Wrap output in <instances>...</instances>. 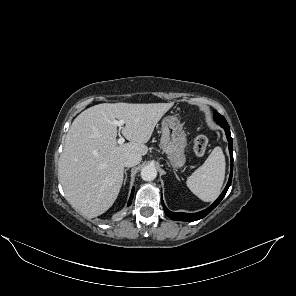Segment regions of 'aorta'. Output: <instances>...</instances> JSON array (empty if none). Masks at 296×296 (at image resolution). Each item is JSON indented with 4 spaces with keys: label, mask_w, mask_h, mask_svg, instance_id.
<instances>
[{
    "label": "aorta",
    "mask_w": 296,
    "mask_h": 296,
    "mask_svg": "<svg viewBox=\"0 0 296 296\" xmlns=\"http://www.w3.org/2000/svg\"><path fill=\"white\" fill-rule=\"evenodd\" d=\"M157 177V170L153 166H146L141 170V178L144 181H153Z\"/></svg>",
    "instance_id": "aorta-1"
}]
</instances>
